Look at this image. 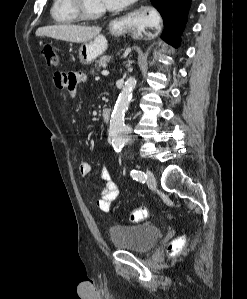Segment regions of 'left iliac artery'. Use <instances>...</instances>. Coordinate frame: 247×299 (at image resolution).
<instances>
[{
    "mask_svg": "<svg viewBox=\"0 0 247 299\" xmlns=\"http://www.w3.org/2000/svg\"><path fill=\"white\" fill-rule=\"evenodd\" d=\"M130 175L133 177V179L140 181L142 183H145V180L147 179L146 174L139 170H132Z\"/></svg>",
    "mask_w": 247,
    "mask_h": 299,
    "instance_id": "1",
    "label": "left iliac artery"
}]
</instances>
